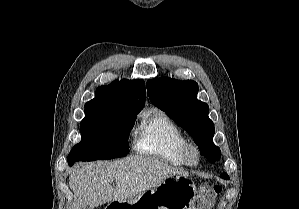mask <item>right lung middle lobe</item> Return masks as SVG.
Listing matches in <instances>:
<instances>
[{"mask_svg":"<svg viewBox=\"0 0 299 209\" xmlns=\"http://www.w3.org/2000/svg\"><path fill=\"white\" fill-rule=\"evenodd\" d=\"M137 113L85 111L81 142L68 155V163L107 160L129 153L128 138Z\"/></svg>","mask_w":299,"mask_h":209,"instance_id":"right-lung-middle-lobe-1","label":"right lung middle lobe"}]
</instances>
